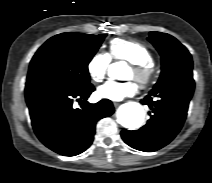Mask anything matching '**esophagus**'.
<instances>
[{
	"mask_svg": "<svg viewBox=\"0 0 212 183\" xmlns=\"http://www.w3.org/2000/svg\"><path fill=\"white\" fill-rule=\"evenodd\" d=\"M113 105H114L115 107H117V106L120 105V103H119V102H114Z\"/></svg>",
	"mask_w": 212,
	"mask_h": 183,
	"instance_id": "esophagus-1",
	"label": "esophagus"
}]
</instances>
